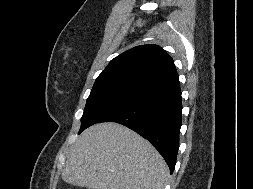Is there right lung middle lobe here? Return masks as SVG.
I'll list each match as a JSON object with an SVG mask.
<instances>
[{
    "mask_svg": "<svg viewBox=\"0 0 253 189\" xmlns=\"http://www.w3.org/2000/svg\"><path fill=\"white\" fill-rule=\"evenodd\" d=\"M147 93L146 90L127 86L92 89L81 118L79 133L106 115L137 101Z\"/></svg>",
    "mask_w": 253,
    "mask_h": 189,
    "instance_id": "right-lung-middle-lobe-1",
    "label": "right lung middle lobe"
}]
</instances>
